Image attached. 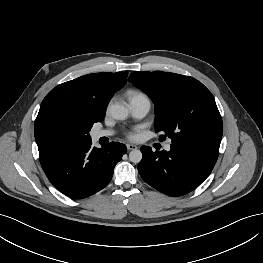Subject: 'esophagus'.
Segmentation results:
<instances>
[{
  "label": "esophagus",
  "mask_w": 263,
  "mask_h": 263,
  "mask_svg": "<svg viewBox=\"0 0 263 263\" xmlns=\"http://www.w3.org/2000/svg\"><path fill=\"white\" fill-rule=\"evenodd\" d=\"M126 146H127V149H128L129 151H130V150H135V149H137V146L134 145V144H127Z\"/></svg>",
  "instance_id": "1"
}]
</instances>
